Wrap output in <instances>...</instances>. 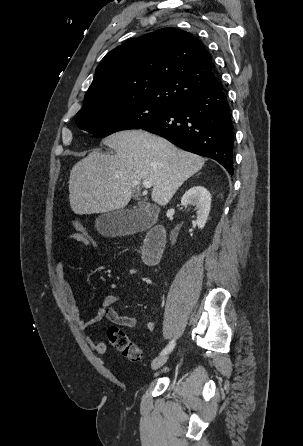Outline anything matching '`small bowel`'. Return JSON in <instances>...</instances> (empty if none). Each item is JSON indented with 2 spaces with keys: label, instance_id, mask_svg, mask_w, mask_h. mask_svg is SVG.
<instances>
[{
  "label": "small bowel",
  "instance_id": "c3829d8e",
  "mask_svg": "<svg viewBox=\"0 0 303 446\" xmlns=\"http://www.w3.org/2000/svg\"><path fill=\"white\" fill-rule=\"evenodd\" d=\"M75 242L81 243L88 249L94 248L93 240L90 237H84L78 235L77 233H71L65 241V248H72ZM58 284L62 293L63 300L65 302L66 307L69 310L70 316L74 323L80 329H86L89 326H92L99 322L102 318H106L110 322L124 326L128 328H134L137 324V320L132 316H125L120 314L115 308V304L121 301V297L119 295H108L104 298L102 304L96 311L95 315L88 320H85L80 312V309L77 305L75 296L73 294L69 279L64 269V265L62 262L57 263L55 267ZM155 328V323L153 321H149L147 323V329L152 331ZM87 342L89 346L95 350L99 354H103L107 350V346L104 342L93 339L90 336H87Z\"/></svg>",
  "mask_w": 303,
  "mask_h": 446
}]
</instances>
